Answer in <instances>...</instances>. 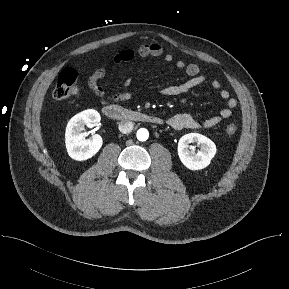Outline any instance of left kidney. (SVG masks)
<instances>
[{"instance_id":"5707ae66","label":"left kidney","mask_w":289,"mask_h":289,"mask_svg":"<svg viewBox=\"0 0 289 289\" xmlns=\"http://www.w3.org/2000/svg\"><path fill=\"white\" fill-rule=\"evenodd\" d=\"M197 143L200 150L195 153L190 150L191 143ZM216 145L204 135L189 133L182 136L178 143V155L185 167L190 170H201L207 167L216 154Z\"/></svg>"}]
</instances>
